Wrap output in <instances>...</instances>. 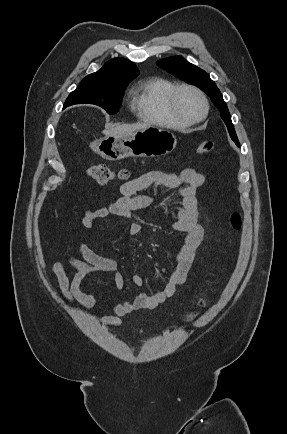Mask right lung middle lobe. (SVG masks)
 Segmentation results:
<instances>
[{"mask_svg": "<svg viewBox=\"0 0 287 434\" xmlns=\"http://www.w3.org/2000/svg\"><path fill=\"white\" fill-rule=\"evenodd\" d=\"M129 82L83 79L66 99L64 108L73 104L89 103L102 107L109 114H115L122 105L124 90Z\"/></svg>", "mask_w": 287, "mask_h": 434, "instance_id": "obj_1", "label": "right lung middle lobe"}]
</instances>
